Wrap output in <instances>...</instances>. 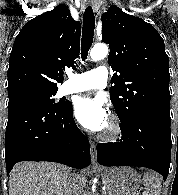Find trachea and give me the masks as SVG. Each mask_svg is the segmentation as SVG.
Returning a JSON list of instances; mask_svg holds the SVG:
<instances>
[{"label": "trachea", "mask_w": 178, "mask_h": 195, "mask_svg": "<svg viewBox=\"0 0 178 195\" xmlns=\"http://www.w3.org/2000/svg\"><path fill=\"white\" fill-rule=\"evenodd\" d=\"M95 29V16L92 8L89 6L86 8L83 16V28H82V39H81V57L85 61L87 58L89 49L93 43Z\"/></svg>", "instance_id": "1"}]
</instances>
